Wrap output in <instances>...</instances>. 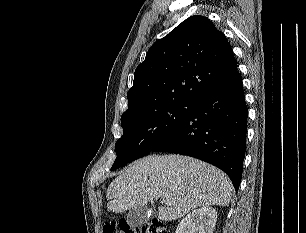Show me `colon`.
Segmentation results:
<instances>
[{"label":"colon","mask_w":306,"mask_h":233,"mask_svg":"<svg viewBox=\"0 0 306 233\" xmlns=\"http://www.w3.org/2000/svg\"><path fill=\"white\" fill-rule=\"evenodd\" d=\"M103 233H171L165 224L158 219H153L140 226H132L129 222H108L103 226Z\"/></svg>","instance_id":"obj_1"}]
</instances>
